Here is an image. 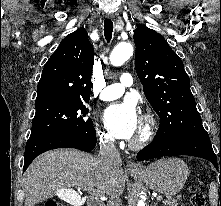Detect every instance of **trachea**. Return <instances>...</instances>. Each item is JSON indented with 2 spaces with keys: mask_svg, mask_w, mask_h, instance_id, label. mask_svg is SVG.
<instances>
[{
  "mask_svg": "<svg viewBox=\"0 0 221 206\" xmlns=\"http://www.w3.org/2000/svg\"><path fill=\"white\" fill-rule=\"evenodd\" d=\"M113 32V22L110 19H105L104 21V36L107 42H110Z\"/></svg>",
  "mask_w": 221,
  "mask_h": 206,
  "instance_id": "1",
  "label": "trachea"
}]
</instances>
